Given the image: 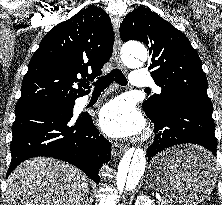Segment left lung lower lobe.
Masks as SVG:
<instances>
[{
    "mask_svg": "<svg viewBox=\"0 0 222 205\" xmlns=\"http://www.w3.org/2000/svg\"><path fill=\"white\" fill-rule=\"evenodd\" d=\"M211 102L192 97L172 98L158 118L147 115L155 126V138L148 149V162L163 150L179 144H197L211 153L197 156L203 164H213L217 140Z\"/></svg>",
    "mask_w": 222,
    "mask_h": 205,
    "instance_id": "obj_1",
    "label": "left lung lower lobe"
}]
</instances>
